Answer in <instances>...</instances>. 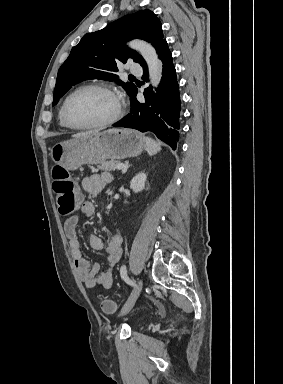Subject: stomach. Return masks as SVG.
I'll list each match as a JSON object with an SVG mask.
<instances>
[{
  "label": "stomach",
  "mask_w": 283,
  "mask_h": 384,
  "mask_svg": "<svg viewBox=\"0 0 283 384\" xmlns=\"http://www.w3.org/2000/svg\"><path fill=\"white\" fill-rule=\"evenodd\" d=\"M145 146V140L139 132L112 128L55 144L50 156L55 164H60L67 170H77L83 164H101L106 160L135 158L145 150Z\"/></svg>",
  "instance_id": "stomach-1"
}]
</instances>
